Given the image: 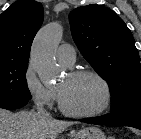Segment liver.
<instances>
[{"instance_id":"liver-1","label":"liver","mask_w":141,"mask_h":139,"mask_svg":"<svg viewBox=\"0 0 141 139\" xmlns=\"http://www.w3.org/2000/svg\"><path fill=\"white\" fill-rule=\"evenodd\" d=\"M73 122L44 119L33 111L0 109V139H56Z\"/></svg>"}]
</instances>
